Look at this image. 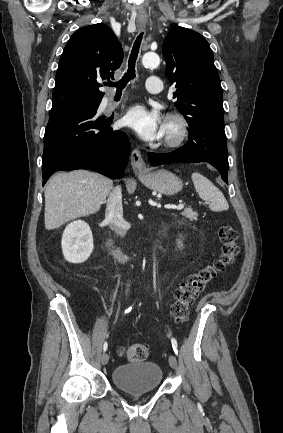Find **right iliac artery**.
Wrapping results in <instances>:
<instances>
[{"label": "right iliac artery", "instance_id": "obj_1", "mask_svg": "<svg viewBox=\"0 0 283 433\" xmlns=\"http://www.w3.org/2000/svg\"><path fill=\"white\" fill-rule=\"evenodd\" d=\"M131 309H132V307H129L128 309H126L125 310V314L129 313L131 311ZM107 347H108V344H107V342H105L104 345H103L104 352L107 350Z\"/></svg>", "mask_w": 283, "mask_h": 433}]
</instances>
